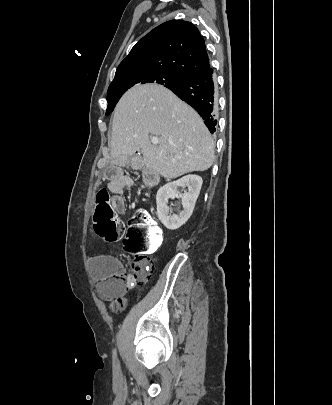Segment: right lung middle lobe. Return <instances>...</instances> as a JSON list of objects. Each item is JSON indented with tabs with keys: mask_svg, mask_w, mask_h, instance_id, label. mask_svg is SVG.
<instances>
[{
	"mask_svg": "<svg viewBox=\"0 0 332 405\" xmlns=\"http://www.w3.org/2000/svg\"><path fill=\"white\" fill-rule=\"evenodd\" d=\"M184 76L171 73H161L153 71H139L122 74L112 81L107 91V110L109 115L119 101L121 96L132 86L145 83H158L168 87L181 81Z\"/></svg>",
	"mask_w": 332,
	"mask_h": 405,
	"instance_id": "dd1d6c3e",
	"label": "right lung middle lobe"
}]
</instances>
